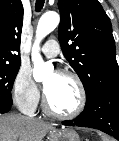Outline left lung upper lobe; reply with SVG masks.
<instances>
[{"label": "left lung upper lobe", "instance_id": "left-lung-upper-lobe-1", "mask_svg": "<svg viewBox=\"0 0 119 141\" xmlns=\"http://www.w3.org/2000/svg\"><path fill=\"white\" fill-rule=\"evenodd\" d=\"M59 42L65 58L78 74L86 98L119 86L112 25L97 0H59Z\"/></svg>", "mask_w": 119, "mask_h": 141}]
</instances>
